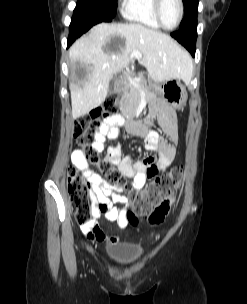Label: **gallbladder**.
Instances as JSON below:
<instances>
[{"label":"gallbladder","mask_w":247,"mask_h":304,"mask_svg":"<svg viewBox=\"0 0 247 304\" xmlns=\"http://www.w3.org/2000/svg\"><path fill=\"white\" fill-rule=\"evenodd\" d=\"M116 78L113 77L109 84V91L112 92L114 90Z\"/></svg>","instance_id":"bac80fb5"}]
</instances>
